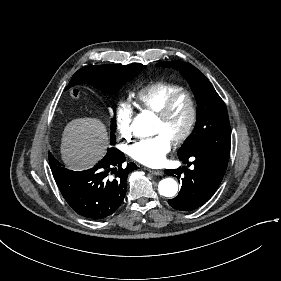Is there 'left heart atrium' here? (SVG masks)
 Listing matches in <instances>:
<instances>
[{"label":"left heart atrium","mask_w":281,"mask_h":281,"mask_svg":"<svg viewBox=\"0 0 281 281\" xmlns=\"http://www.w3.org/2000/svg\"><path fill=\"white\" fill-rule=\"evenodd\" d=\"M170 149V139L160 133L135 144L130 150V155L143 165L159 167L165 162L166 154Z\"/></svg>","instance_id":"39dd6f15"}]
</instances>
